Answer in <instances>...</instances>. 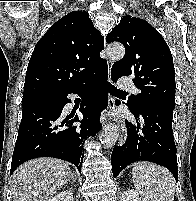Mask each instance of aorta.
Wrapping results in <instances>:
<instances>
[{
	"mask_svg": "<svg viewBox=\"0 0 196 201\" xmlns=\"http://www.w3.org/2000/svg\"><path fill=\"white\" fill-rule=\"evenodd\" d=\"M107 54L110 58L120 60L125 54V49L122 44H110L107 48ZM119 130L115 125L108 126L100 137V142L104 148H111L117 142Z\"/></svg>",
	"mask_w": 196,
	"mask_h": 201,
	"instance_id": "762f6f07",
	"label": "aorta"
}]
</instances>
